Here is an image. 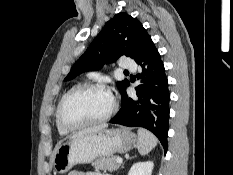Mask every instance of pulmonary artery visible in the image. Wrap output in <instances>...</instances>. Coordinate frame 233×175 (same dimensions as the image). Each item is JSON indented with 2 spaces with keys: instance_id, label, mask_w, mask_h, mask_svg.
<instances>
[{
  "instance_id": "1",
  "label": "pulmonary artery",
  "mask_w": 233,
  "mask_h": 175,
  "mask_svg": "<svg viewBox=\"0 0 233 175\" xmlns=\"http://www.w3.org/2000/svg\"><path fill=\"white\" fill-rule=\"evenodd\" d=\"M119 66L123 69L134 70L136 67V63L132 60L122 58L119 62Z\"/></svg>"
}]
</instances>
